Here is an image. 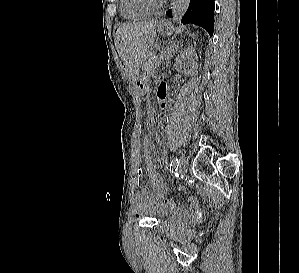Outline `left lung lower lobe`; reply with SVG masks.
I'll return each instance as SVG.
<instances>
[{
  "mask_svg": "<svg viewBox=\"0 0 299 273\" xmlns=\"http://www.w3.org/2000/svg\"><path fill=\"white\" fill-rule=\"evenodd\" d=\"M171 17V10L167 11ZM183 24L193 23L207 30L210 36L214 30V0H190L189 7L182 17Z\"/></svg>",
  "mask_w": 299,
  "mask_h": 273,
  "instance_id": "obj_1",
  "label": "left lung lower lobe"
}]
</instances>
